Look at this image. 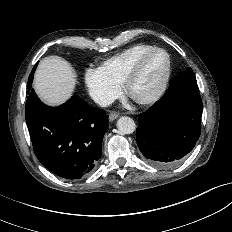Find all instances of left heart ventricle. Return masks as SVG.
<instances>
[{"instance_id": "1", "label": "left heart ventricle", "mask_w": 232, "mask_h": 232, "mask_svg": "<svg viewBox=\"0 0 232 232\" xmlns=\"http://www.w3.org/2000/svg\"><path fill=\"white\" fill-rule=\"evenodd\" d=\"M166 68V57L158 52L151 55L144 63L139 75L131 86V96L143 98L155 91L160 84Z\"/></svg>"}]
</instances>
